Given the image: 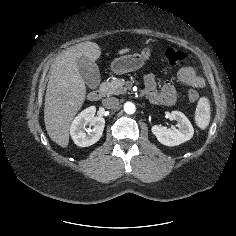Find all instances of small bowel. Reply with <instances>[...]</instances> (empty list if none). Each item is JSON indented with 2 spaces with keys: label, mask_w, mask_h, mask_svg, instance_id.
<instances>
[{
  "label": "small bowel",
  "mask_w": 236,
  "mask_h": 236,
  "mask_svg": "<svg viewBox=\"0 0 236 236\" xmlns=\"http://www.w3.org/2000/svg\"><path fill=\"white\" fill-rule=\"evenodd\" d=\"M179 80L191 87L202 88L204 80L198 76L192 67H182L178 72ZM145 93L148 99L158 105L170 106L175 103L177 91L170 82H164L160 86L153 74L144 77Z\"/></svg>",
  "instance_id": "obj_1"
}]
</instances>
